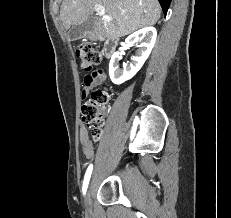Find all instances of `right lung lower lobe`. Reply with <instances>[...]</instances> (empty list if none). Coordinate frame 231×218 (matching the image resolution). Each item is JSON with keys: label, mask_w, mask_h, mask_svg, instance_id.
I'll return each mask as SVG.
<instances>
[{"label": "right lung lower lobe", "mask_w": 231, "mask_h": 218, "mask_svg": "<svg viewBox=\"0 0 231 218\" xmlns=\"http://www.w3.org/2000/svg\"><path fill=\"white\" fill-rule=\"evenodd\" d=\"M158 1L163 9L164 15H166L169 5L171 3V0H158Z\"/></svg>", "instance_id": "right-lung-lower-lobe-1"}]
</instances>
